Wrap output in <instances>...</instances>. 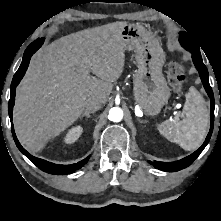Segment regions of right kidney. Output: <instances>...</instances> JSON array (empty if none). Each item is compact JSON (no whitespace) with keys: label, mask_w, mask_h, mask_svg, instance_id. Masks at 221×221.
I'll use <instances>...</instances> for the list:
<instances>
[{"label":"right kidney","mask_w":221,"mask_h":221,"mask_svg":"<svg viewBox=\"0 0 221 221\" xmlns=\"http://www.w3.org/2000/svg\"><path fill=\"white\" fill-rule=\"evenodd\" d=\"M83 128L81 126H76L71 128L65 135L63 141L67 144L74 143L82 134Z\"/></svg>","instance_id":"ca27d5eb"}]
</instances>
